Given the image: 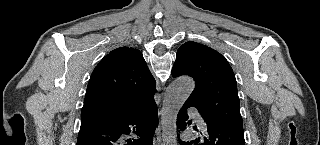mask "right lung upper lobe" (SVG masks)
<instances>
[{
  "label": "right lung upper lobe",
  "mask_w": 320,
  "mask_h": 145,
  "mask_svg": "<svg viewBox=\"0 0 320 145\" xmlns=\"http://www.w3.org/2000/svg\"><path fill=\"white\" fill-rule=\"evenodd\" d=\"M155 79L132 47L112 50L95 67L81 112V126L126 119L154 101Z\"/></svg>",
  "instance_id": "1"
}]
</instances>
